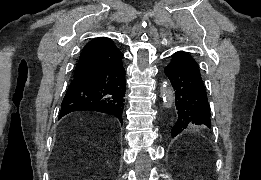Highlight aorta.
I'll return each instance as SVG.
<instances>
[{"instance_id": "obj_1", "label": "aorta", "mask_w": 261, "mask_h": 180, "mask_svg": "<svg viewBox=\"0 0 261 180\" xmlns=\"http://www.w3.org/2000/svg\"><path fill=\"white\" fill-rule=\"evenodd\" d=\"M161 98L163 100V106L165 108H171L174 105V90L169 82L164 81L160 88Z\"/></svg>"}]
</instances>
